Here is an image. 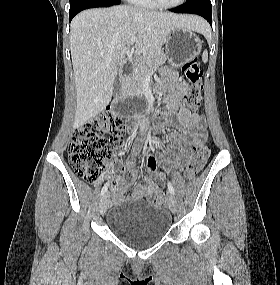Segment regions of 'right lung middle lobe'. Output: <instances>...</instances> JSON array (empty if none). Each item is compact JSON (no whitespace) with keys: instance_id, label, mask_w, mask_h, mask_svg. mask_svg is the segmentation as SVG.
Wrapping results in <instances>:
<instances>
[{"instance_id":"right-lung-middle-lobe-1","label":"right lung middle lobe","mask_w":280,"mask_h":285,"mask_svg":"<svg viewBox=\"0 0 280 285\" xmlns=\"http://www.w3.org/2000/svg\"><path fill=\"white\" fill-rule=\"evenodd\" d=\"M78 0H70V4L77 2Z\"/></svg>"}]
</instances>
